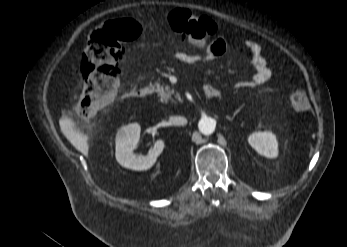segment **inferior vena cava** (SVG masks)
<instances>
[{"instance_id": "602c4592", "label": "inferior vena cava", "mask_w": 347, "mask_h": 247, "mask_svg": "<svg viewBox=\"0 0 347 247\" xmlns=\"http://www.w3.org/2000/svg\"><path fill=\"white\" fill-rule=\"evenodd\" d=\"M169 122L172 125L181 126V125H185L187 123V120L186 118L181 116H173V117H170Z\"/></svg>"}]
</instances>
